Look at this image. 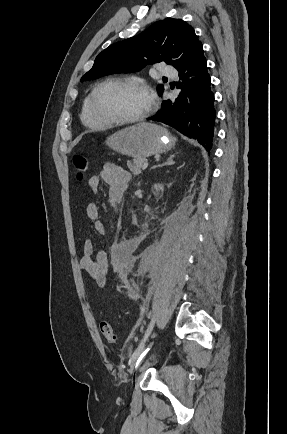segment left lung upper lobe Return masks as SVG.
I'll return each instance as SVG.
<instances>
[{"label":"left lung upper lobe","mask_w":287,"mask_h":434,"mask_svg":"<svg viewBox=\"0 0 287 434\" xmlns=\"http://www.w3.org/2000/svg\"><path fill=\"white\" fill-rule=\"evenodd\" d=\"M203 53L193 28L181 19L166 18L137 36L117 42L103 50L81 80L114 73L140 71L148 64L165 61L177 70ZM159 94L164 87L158 85Z\"/></svg>","instance_id":"1"}]
</instances>
